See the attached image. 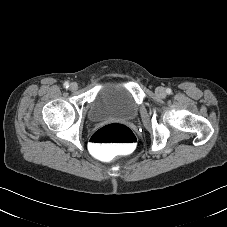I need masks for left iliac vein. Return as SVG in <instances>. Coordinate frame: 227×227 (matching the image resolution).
Here are the masks:
<instances>
[{
  "mask_svg": "<svg viewBox=\"0 0 227 227\" xmlns=\"http://www.w3.org/2000/svg\"><path fill=\"white\" fill-rule=\"evenodd\" d=\"M156 93L159 95V96H165L166 95V91L163 87H158L156 89Z\"/></svg>",
  "mask_w": 227,
  "mask_h": 227,
  "instance_id": "obj_1",
  "label": "left iliac vein"
}]
</instances>
